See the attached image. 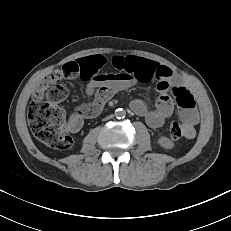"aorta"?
Listing matches in <instances>:
<instances>
[{
    "label": "aorta",
    "instance_id": "obj_1",
    "mask_svg": "<svg viewBox=\"0 0 231 231\" xmlns=\"http://www.w3.org/2000/svg\"><path fill=\"white\" fill-rule=\"evenodd\" d=\"M125 115V111L122 109V108H118L116 111H115V116L117 118H122L124 117Z\"/></svg>",
    "mask_w": 231,
    "mask_h": 231
}]
</instances>
